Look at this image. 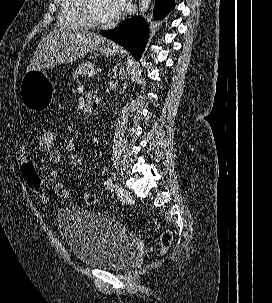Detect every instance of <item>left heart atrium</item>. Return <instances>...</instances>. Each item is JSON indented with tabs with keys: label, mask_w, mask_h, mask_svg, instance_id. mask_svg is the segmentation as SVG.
<instances>
[{
	"label": "left heart atrium",
	"mask_w": 272,
	"mask_h": 303,
	"mask_svg": "<svg viewBox=\"0 0 272 303\" xmlns=\"http://www.w3.org/2000/svg\"><path fill=\"white\" fill-rule=\"evenodd\" d=\"M106 10L110 20L119 19L125 12L126 0H105Z\"/></svg>",
	"instance_id": "1"
}]
</instances>
